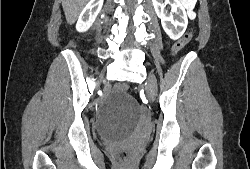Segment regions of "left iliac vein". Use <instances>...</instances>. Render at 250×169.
<instances>
[{
    "instance_id": "4c4485c4",
    "label": "left iliac vein",
    "mask_w": 250,
    "mask_h": 169,
    "mask_svg": "<svg viewBox=\"0 0 250 169\" xmlns=\"http://www.w3.org/2000/svg\"><path fill=\"white\" fill-rule=\"evenodd\" d=\"M147 96L150 100H153L157 95V79L153 73L147 75Z\"/></svg>"
}]
</instances>
